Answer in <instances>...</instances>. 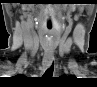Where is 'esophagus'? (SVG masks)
<instances>
[{
	"label": "esophagus",
	"mask_w": 97,
	"mask_h": 87,
	"mask_svg": "<svg viewBox=\"0 0 97 87\" xmlns=\"http://www.w3.org/2000/svg\"><path fill=\"white\" fill-rule=\"evenodd\" d=\"M54 60V56L52 52H45L44 59H43V67L44 69L49 68Z\"/></svg>",
	"instance_id": "esophagus-1"
}]
</instances>
